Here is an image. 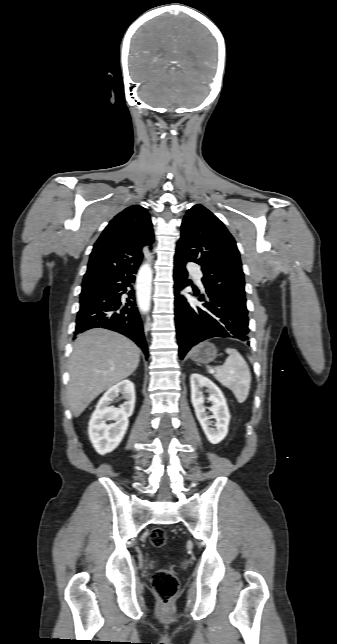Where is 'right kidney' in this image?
I'll use <instances>...</instances> for the list:
<instances>
[{
  "label": "right kidney",
  "instance_id": "obj_1",
  "mask_svg": "<svg viewBox=\"0 0 337 644\" xmlns=\"http://www.w3.org/2000/svg\"><path fill=\"white\" fill-rule=\"evenodd\" d=\"M121 393L126 400L119 408L110 406ZM135 406V388L130 380H123L109 388L99 400L89 421L88 434L95 450L104 455L113 451L122 441L128 425V418ZM112 420L114 423L106 424Z\"/></svg>",
  "mask_w": 337,
  "mask_h": 644
}]
</instances>
